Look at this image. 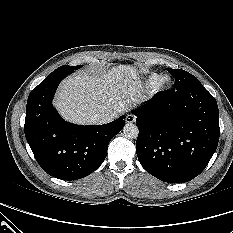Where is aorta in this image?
Listing matches in <instances>:
<instances>
[{
    "mask_svg": "<svg viewBox=\"0 0 233 233\" xmlns=\"http://www.w3.org/2000/svg\"><path fill=\"white\" fill-rule=\"evenodd\" d=\"M138 127L133 123H128L123 128V135L128 139H135L138 137Z\"/></svg>",
    "mask_w": 233,
    "mask_h": 233,
    "instance_id": "762f6f07",
    "label": "aorta"
}]
</instances>
